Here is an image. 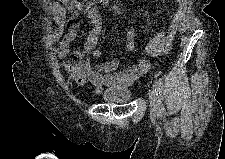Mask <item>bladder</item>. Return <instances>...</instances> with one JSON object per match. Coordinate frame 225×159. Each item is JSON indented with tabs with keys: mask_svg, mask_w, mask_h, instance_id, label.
Instances as JSON below:
<instances>
[{
	"mask_svg": "<svg viewBox=\"0 0 225 159\" xmlns=\"http://www.w3.org/2000/svg\"><path fill=\"white\" fill-rule=\"evenodd\" d=\"M133 93L127 87L115 86L102 93V99L111 104H126L132 99Z\"/></svg>",
	"mask_w": 225,
	"mask_h": 159,
	"instance_id": "31cf9c89",
	"label": "bladder"
}]
</instances>
